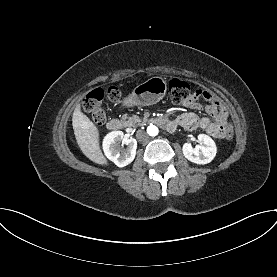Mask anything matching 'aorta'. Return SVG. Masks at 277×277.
I'll return each instance as SVG.
<instances>
[{
    "label": "aorta",
    "mask_w": 277,
    "mask_h": 277,
    "mask_svg": "<svg viewBox=\"0 0 277 277\" xmlns=\"http://www.w3.org/2000/svg\"><path fill=\"white\" fill-rule=\"evenodd\" d=\"M158 132H159V130L155 125H150L147 127V133L150 136H156V135H158Z\"/></svg>",
    "instance_id": "762f6f07"
}]
</instances>
